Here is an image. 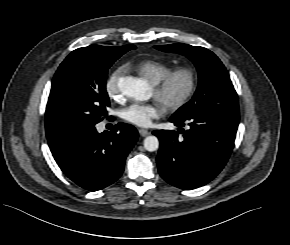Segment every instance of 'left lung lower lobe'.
<instances>
[{"label":"left lung lower lobe","mask_w":290,"mask_h":245,"mask_svg":"<svg viewBox=\"0 0 290 245\" xmlns=\"http://www.w3.org/2000/svg\"><path fill=\"white\" fill-rule=\"evenodd\" d=\"M179 133L153 132L160 140L157 157L161 177L173 186L191 190L203 186L223 169L234 146L239 119L199 110L183 118H170ZM185 124L189 129H181Z\"/></svg>","instance_id":"1"}]
</instances>
